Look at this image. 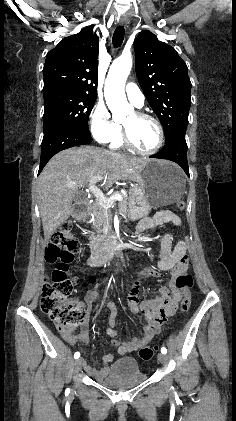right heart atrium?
<instances>
[{
	"label": "right heart atrium",
	"instance_id": "right-heart-atrium-1",
	"mask_svg": "<svg viewBox=\"0 0 236 421\" xmlns=\"http://www.w3.org/2000/svg\"><path fill=\"white\" fill-rule=\"evenodd\" d=\"M89 126L93 137L101 144L110 143L121 130L102 101H97L92 108Z\"/></svg>",
	"mask_w": 236,
	"mask_h": 421
}]
</instances>
